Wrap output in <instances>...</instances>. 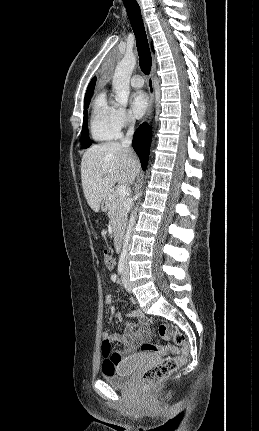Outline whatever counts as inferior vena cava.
Returning a JSON list of instances; mask_svg holds the SVG:
<instances>
[{
    "label": "inferior vena cava",
    "mask_w": 259,
    "mask_h": 431,
    "mask_svg": "<svg viewBox=\"0 0 259 431\" xmlns=\"http://www.w3.org/2000/svg\"><path fill=\"white\" fill-rule=\"evenodd\" d=\"M128 123H129V129H128L127 133H126L125 138L122 140L121 145H122V147L129 149V147L132 144V137H133V134H134V124H135L134 118L133 117H129L128 118Z\"/></svg>",
    "instance_id": "602c4592"
}]
</instances>
